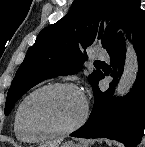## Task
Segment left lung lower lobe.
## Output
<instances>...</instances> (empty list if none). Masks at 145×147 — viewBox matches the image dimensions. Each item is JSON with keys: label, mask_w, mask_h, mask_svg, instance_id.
I'll return each mask as SVG.
<instances>
[{"label": "left lung lower lobe", "mask_w": 145, "mask_h": 147, "mask_svg": "<svg viewBox=\"0 0 145 147\" xmlns=\"http://www.w3.org/2000/svg\"><path fill=\"white\" fill-rule=\"evenodd\" d=\"M140 7V0H131L121 26L129 39L132 37L138 57V74L132 89L123 97L113 96L125 61V43L117 34L106 49L113 81L108 90L102 92L98 87V82L105 77L102 73L93 87L95 101L88 121L70 136L109 138L123 142L126 147H135L140 143L145 128V11Z\"/></svg>", "instance_id": "left-lung-lower-lobe-1"}]
</instances>
